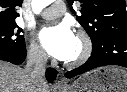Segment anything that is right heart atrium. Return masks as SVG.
I'll use <instances>...</instances> for the list:
<instances>
[{
	"mask_svg": "<svg viewBox=\"0 0 127 92\" xmlns=\"http://www.w3.org/2000/svg\"><path fill=\"white\" fill-rule=\"evenodd\" d=\"M27 55H28L29 60L35 64H43L45 63L47 59L44 50L33 39L30 40L29 42L28 49H27Z\"/></svg>",
	"mask_w": 127,
	"mask_h": 92,
	"instance_id": "obj_1",
	"label": "right heart atrium"
}]
</instances>
